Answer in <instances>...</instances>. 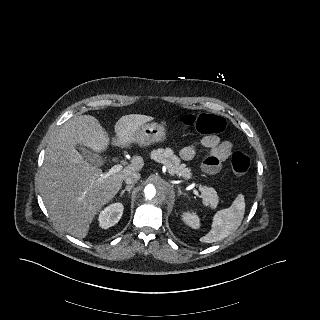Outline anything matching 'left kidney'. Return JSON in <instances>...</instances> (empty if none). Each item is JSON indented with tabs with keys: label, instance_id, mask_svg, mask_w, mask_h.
<instances>
[{
	"label": "left kidney",
	"instance_id": "left-kidney-1",
	"mask_svg": "<svg viewBox=\"0 0 320 320\" xmlns=\"http://www.w3.org/2000/svg\"><path fill=\"white\" fill-rule=\"evenodd\" d=\"M183 220L190 227L197 229L199 227V219L195 214L185 213L183 215Z\"/></svg>",
	"mask_w": 320,
	"mask_h": 320
}]
</instances>
